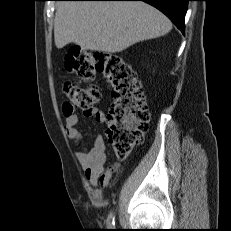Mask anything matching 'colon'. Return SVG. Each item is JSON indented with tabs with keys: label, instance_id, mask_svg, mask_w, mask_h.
I'll list each match as a JSON object with an SVG mask.
<instances>
[{
	"label": "colon",
	"instance_id": "1",
	"mask_svg": "<svg viewBox=\"0 0 231 231\" xmlns=\"http://www.w3.org/2000/svg\"><path fill=\"white\" fill-rule=\"evenodd\" d=\"M65 65L79 79L91 82L96 74H102L112 88V103L107 116V135L118 158L127 156L140 144L148 130L150 113L144 91L136 72L120 55L94 51L72 50L65 56ZM68 97L64 109L89 111L101 99L96 86L64 84Z\"/></svg>",
	"mask_w": 231,
	"mask_h": 231
}]
</instances>
